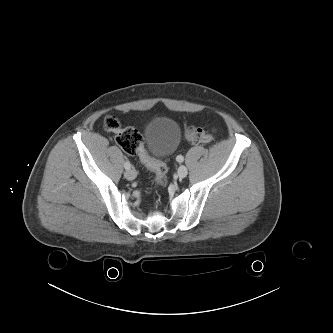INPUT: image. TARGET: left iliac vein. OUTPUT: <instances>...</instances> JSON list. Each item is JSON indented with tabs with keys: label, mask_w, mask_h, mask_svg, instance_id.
Wrapping results in <instances>:
<instances>
[{
	"label": "left iliac vein",
	"mask_w": 333,
	"mask_h": 333,
	"mask_svg": "<svg viewBox=\"0 0 333 333\" xmlns=\"http://www.w3.org/2000/svg\"><path fill=\"white\" fill-rule=\"evenodd\" d=\"M177 174L180 178H184L187 176L188 174V170L187 168L184 166V165H181L179 168H178V171H177Z\"/></svg>",
	"instance_id": "4c4485c4"
}]
</instances>
